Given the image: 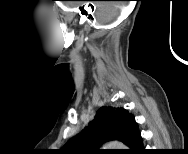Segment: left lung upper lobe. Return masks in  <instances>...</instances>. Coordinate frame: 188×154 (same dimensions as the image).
<instances>
[{
    "label": "left lung upper lobe",
    "instance_id": "1",
    "mask_svg": "<svg viewBox=\"0 0 188 154\" xmlns=\"http://www.w3.org/2000/svg\"><path fill=\"white\" fill-rule=\"evenodd\" d=\"M133 115L124 108L101 107L94 119L62 148L67 154H101L99 147L107 141L124 143Z\"/></svg>",
    "mask_w": 188,
    "mask_h": 154
}]
</instances>
